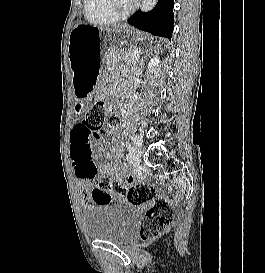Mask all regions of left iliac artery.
<instances>
[{
    "label": "left iliac artery",
    "instance_id": "1",
    "mask_svg": "<svg viewBox=\"0 0 265 273\" xmlns=\"http://www.w3.org/2000/svg\"><path fill=\"white\" fill-rule=\"evenodd\" d=\"M131 139H132V141L136 144V145H140V143H139V139L134 135V136H132L131 137Z\"/></svg>",
    "mask_w": 265,
    "mask_h": 273
}]
</instances>
